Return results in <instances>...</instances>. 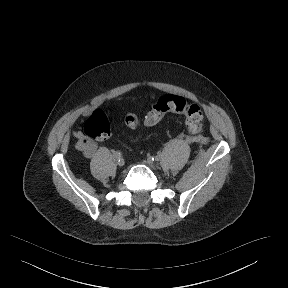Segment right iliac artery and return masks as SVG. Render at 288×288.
I'll return each instance as SVG.
<instances>
[{
    "label": "right iliac artery",
    "mask_w": 288,
    "mask_h": 288,
    "mask_svg": "<svg viewBox=\"0 0 288 288\" xmlns=\"http://www.w3.org/2000/svg\"><path fill=\"white\" fill-rule=\"evenodd\" d=\"M113 156L115 159H120L122 157V154L120 151H116Z\"/></svg>",
    "instance_id": "obj_1"
}]
</instances>
